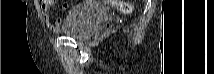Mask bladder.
<instances>
[{
    "label": "bladder",
    "instance_id": "bladder-1",
    "mask_svg": "<svg viewBox=\"0 0 214 74\" xmlns=\"http://www.w3.org/2000/svg\"><path fill=\"white\" fill-rule=\"evenodd\" d=\"M106 18L107 13L102 7L95 5L94 2H83L71 11L60 32L71 38L86 39Z\"/></svg>",
    "mask_w": 214,
    "mask_h": 74
}]
</instances>
